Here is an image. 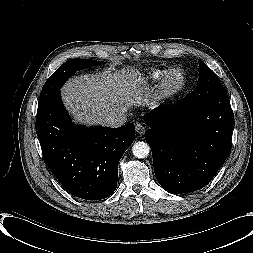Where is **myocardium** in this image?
I'll return each mask as SVG.
<instances>
[{
	"mask_svg": "<svg viewBox=\"0 0 253 253\" xmlns=\"http://www.w3.org/2000/svg\"><path fill=\"white\" fill-rule=\"evenodd\" d=\"M179 75L181 78L180 83L176 87H169V79L173 75ZM187 79L185 73L180 68H174L169 70L161 79L158 87V97L161 102H167L177 97L185 88Z\"/></svg>",
	"mask_w": 253,
	"mask_h": 253,
	"instance_id": "obj_1",
	"label": "myocardium"
}]
</instances>
